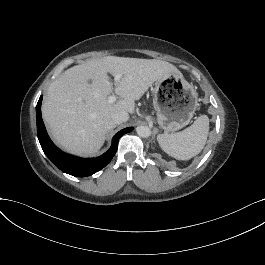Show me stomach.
Wrapping results in <instances>:
<instances>
[{
  "label": "stomach",
  "instance_id": "0dacf381",
  "mask_svg": "<svg viewBox=\"0 0 265 265\" xmlns=\"http://www.w3.org/2000/svg\"><path fill=\"white\" fill-rule=\"evenodd\" d=\"M198 94L182 75L170 74L156 81L154 105L157 122L166 132L189 124L198 105Z\"/></svg>",
  "mask_w": 265,
  "mask_h": 265
}]
</instances>
